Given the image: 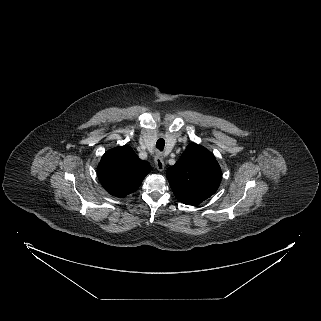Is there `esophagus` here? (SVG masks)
<instances>
[{
	"mask_svg": "<svg viewBox=\"0 0 321 321\" xmlns=\"http://www.w3.org/2000/svg\"><path fill=\"white\" fill-rule=\"evenodd\" d=\"M154 161H155V165H156L157 170L158 171H163L164 167H165L163 159L161 157H159V156H156Z\"/></svg>",
	"mask_w": 321,
	"mask_h": 321,
	"instance_id": "obj_1",
	"label": "esophagus"
}]
</instances>
